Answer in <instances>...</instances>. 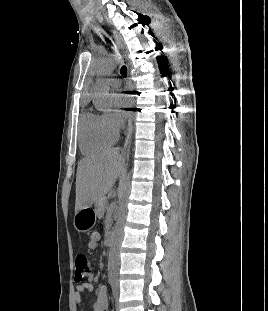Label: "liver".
<instances>
[{"label": "liver", "mask_w": 268, "mask_h": 311, "mask_svg": "<svg viewBox=\"0 0 268 311\" xmlns=\"http://www.w3.org/2000/svg\"><path fill=\"white\" fill-rule=\"evenodd\" d=\"M121 167L122 157L117 148L82 159L77 167L75 212L104 197L115 184Z\"/></svg>", "instance_id": "obj_1"}]
</instances>
